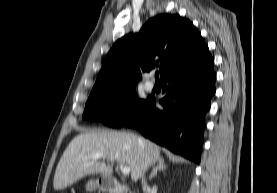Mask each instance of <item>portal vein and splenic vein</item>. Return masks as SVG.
<instances>
[{"instance_id": "18ae733b", "label": "portal vein and splenic vein", "mask_w": 277, "mask_h": 193, "mask_svg": "<svg viewBox=\"0 0 277 193\" xmlns=\"http://www.w3.org/2000/svg\"><path fill=\"white\" fill-rule=\"evenodd\" d=\"M104 156V154L102 152H98V153H94L90 156L91 159H100ZM119 168L121 170V172L124 174V175H127L130 173L131 169L130 167L128 166H124L123 164L119 163Z\"/></svg>"}]
</instances>
